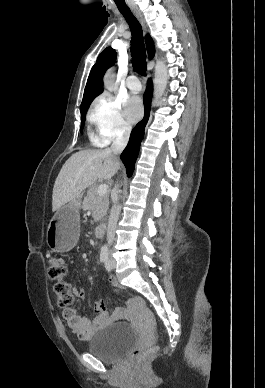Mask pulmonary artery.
I'll return each instance as SVG.
<instances>
[{
  "label": "pulmonary artery",
  "mask_w": 265,
  "mask_h": 388,
  "mask_svg": "<svg viewBox=\"0 0 265 388\" xmlns=\"http://www.w3.org/2000/svg\"><path fill=\"white\" fill-rule=\"evenodd\" d=\"M127 80L129 81V88L131 90L132 94H139L140 93V86H139V81H140V76L139 75H129L127 77Z\"/></svg>",
  "instance_id": "pulmonary-artery-1"
}]
</instances>
